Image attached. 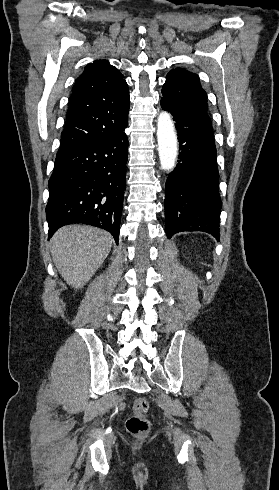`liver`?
I'll list each match as a JSON object with an SVG mask.
<instances>
[{
  "instance_id": "1",
  "label": "liver",
  "mask_w": 279,
  "mask_h": 490,
  "mask_svg": "<svg viewBox=\"0 0 279 490\" xmlns=\"http://www.w3.org/2000/svg\"><path fill=\"white\" fill-rule=\"evenodd\" d=\"M112 236L91 226H64L51 240L53 262L66 284L81 290L102 266L112 248Z\"/></svg>"
}]
</instances>
